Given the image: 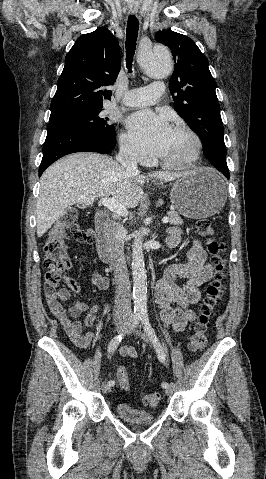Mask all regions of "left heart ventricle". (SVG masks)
<instances>
[{
	"label": "left heart ventricle",
	"mask_w": 266,
	"mask_h": 479,
	"mask_svg": "<svg viewBox=\"0 0 266 479\" xmlns=\"http://www.w3.org/2000/svg\"><path fill=\"white\" fill-rule=\"evenodd\" d=\"M191 147L192 141L187 134L173 130L169 144L160 158L164 160L183 158L190 152Z\"/></svg>",
	"instance_id": "obj_1"
}]
</instances>
